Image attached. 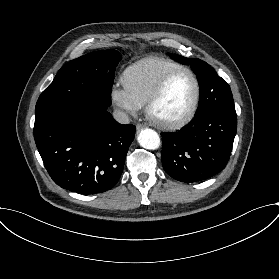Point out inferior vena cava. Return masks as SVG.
Returning a JSON list of instances; mask_svg holds the SVG:
<instances>
[{"label": "inferior vena cava", "instance_id": "inferior-vena-cava-1", "mask_svg": "<svg viewBox=\"0 0 279 279\" xmlns=\"http://www.w3.org/2000/svg\"><path fill=\"white\" fill-rule=\"evenodd\" d=\"M113 118L120 124H129V116L122 110L116 109L113 111Z\"/></svg>", "mask_w": 279, "mask_h": 279}]
</instances>
